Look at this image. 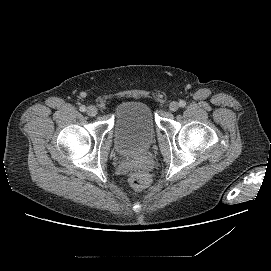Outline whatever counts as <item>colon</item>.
<instances>
[{"mask_svg": "<svg viewBox=\"0 0 271 271\" xmlns=\"http://www.w3.org/2000/svg\"><path fill=\"white\" fill-rule=\"evenodd\" d=\"M150 182L151 180L149 175L142 170H138L129 176V183L133 188L137 190H143L147 188Z\"/></svg>", "mask_w": 271, "mask_h": 271, "instance_id": "1", "label": "colon"}]
</instances>
